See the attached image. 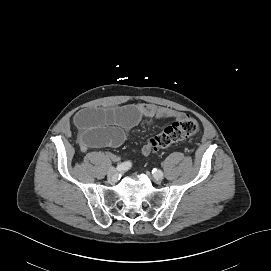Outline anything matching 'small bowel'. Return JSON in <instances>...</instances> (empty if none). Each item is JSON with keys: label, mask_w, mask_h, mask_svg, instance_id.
Masks as SVG:
<instances>
[{"label": "small bowel", "mask_w": 271, "mask_h": 271, "mask_svg": "<svg viewBox=\"0 0 271 271\" xmlns=\"http://www.w3.org/2000/svg\"><path fill=\"white\" fill-rule=\"evenodd\" d=\"M184 114L153 104L127 105L111 110L85 109L74 116L78 128V144L82 151L90 148L118 147L126 139V133L142 118L179 120ZM150 153L149 145L142 148L141 154ZM117 160L116 156H111Z\"/></svg>", "instance_id": "obj_1"}]
</instances>
